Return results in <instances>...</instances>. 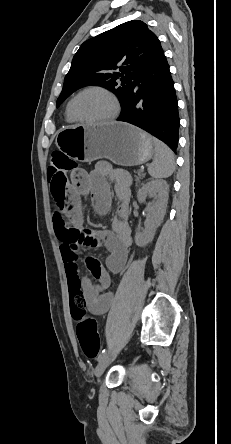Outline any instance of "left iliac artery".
<instances>
[{
  "instance_id": "1",
  "label": "left iliac artery",
  "mask_w": 231,
  "mask_h": 444,
  "mask_svg": "<svg viewBox=\"0 0 231 444\" xmlns=\"http://www.w3.org/2000/svg\"><path fill=\"white\" fill-rule=\"evenodd\" d=\"M106 352H107V350H106V349H103V350L101 351V353L99 354L97 360L100 361V360L102 359V357L106 354Z\"/></svg>"
}]
</instances>
